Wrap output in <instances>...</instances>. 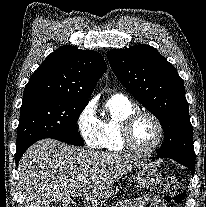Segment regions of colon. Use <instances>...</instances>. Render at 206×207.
Instances as JSON below:
<instances>
[{"label": "colon", "mask_w": 206, "mask_h": 207, "mask_svg": "<svg viewBox=\"0 0 206 207\" xmlns=\"http://www.w3.org/2000/svg\"><path fill=\"white\" fill-rule=\"evenodd\" d=\"M160 192L170 207H179L185 198V191L181 178L170 174L165 177L160 185ZM61 207H75L72 204H64Z\"/></svg>", "instance_id": "5ec220e1"}]
</instances>
